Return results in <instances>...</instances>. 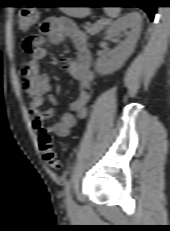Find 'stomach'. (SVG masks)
Returning <instances> with one entry per match:
<instances>
[{
	"instance_id": "obj_1",
	"label": "stomach",
	"mask_w": 170,
	"mask_h": 231,
	"mask_svg": "<svg viewBox=\"0 0 170 231\" xmlns=\"http://www.w3.org/2000/svg\"><path fill=\"white\" fill-rule=\"evenodd\" d=\"M60 3L71 4L73 1H62ZM61 11L69 16L82 17L86 14L87 8L85 7H60Z\"/></svg>"
}]
</instances>
